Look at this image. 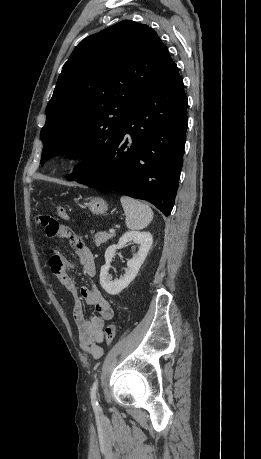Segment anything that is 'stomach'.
Instances as JSON below:
<instances>
[{"label":"stomach","mask_w":261,"mask_h":459,"mask_svg":"<svg viewBox=\"0 0 261 459\" xmlns=\"http://www.w3.org/2000/svg\"><path fill=\"white\" fill-rule=\"evenodd\" d=\"M86 205L93 214L97 215L104 214L108 208L106 202L99 197L91 198V200Z\"/></svg>","instance_id":"stomach-1"}]
</instances>
